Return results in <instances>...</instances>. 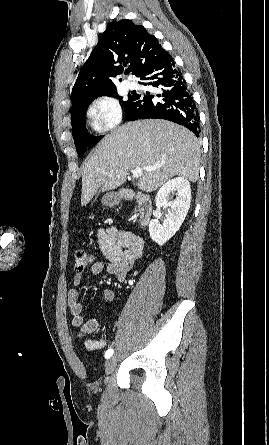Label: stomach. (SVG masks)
Listing matches in <instances>:
<instances>
[{"label":"stomach","instance_id":"stomach-1","mask_svg":"<svg viewBox=\"0 0 269 445\" xmlns=\"http://www.w3.org/2000/svg\"><path fill=\"white\" fill-rule=\"evenodd\" d=\"M119 201H120L119 194L113 192L104 195V197L102 198L103 205L108 207H113L117 205Z\"/></svg>","mask_w":269,"mask_h":445}]
</instances>
